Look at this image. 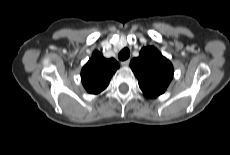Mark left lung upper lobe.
<instances>
[{
  "mask_svg": "<svg viewBox=\"0 0 230 155\" xmlns=\"http://www.w3.org/2000/svg\"><path fill=\"white\" fill-rule=\"evenodd\" d=\"M130 67L138 78L139 87L149 98L163 94L173 78V66L155 47L142 48Z\"/></svg>",
  "mask_w": 230,
  "mask_h": 155,
  "instance_id": "obj_1",
  "label": "left lung upper lobe"
}]
</instances>
